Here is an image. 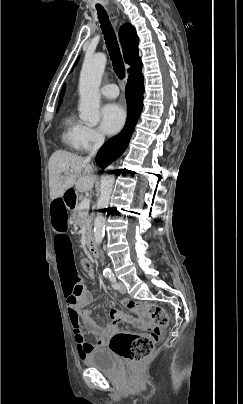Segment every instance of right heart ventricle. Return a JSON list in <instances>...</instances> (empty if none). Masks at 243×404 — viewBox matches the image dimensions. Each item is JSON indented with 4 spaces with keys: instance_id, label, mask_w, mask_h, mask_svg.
Segmentation results:
<instances>
[{
    "instance_id": "obj_1",
    "label": "right heart ventricle",
    "mask_w": 243,
    "mask_h": 404,
    "mask_svg": "<svg viewBox=\"0 0 243 404\" xmlns=\"http://www.w3.org/2000/svg\"><path fill=\"white\" fill-rule=\"evenodd\" d=\"M80 126L81 124L71 113L63 117L60 139L67 149L75 150L76 135Z\"/></svg>"
}]
</instances>
